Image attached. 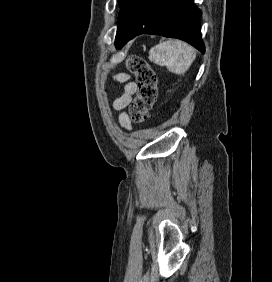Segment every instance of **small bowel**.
Wrapping results in <instances>:
<instances>
[{"mask_svg":"<svg viewBox=\"0 0 272 282\" xmlns=\"http://www.w3.org/2000/svg\"><path fill=\"white\" fill-rule=\"evenodd\" d=\"M116 79L123 82L124 85L120 96L114 101L113 107L119 111V123L121 126L130 129L132 127L131 120L125 110L137 91V84L125 74H118Z\"/></svg>","mask_w":272,"mask_h":282,"instance_id":"1","label":"small bowel"}]
</instances>
